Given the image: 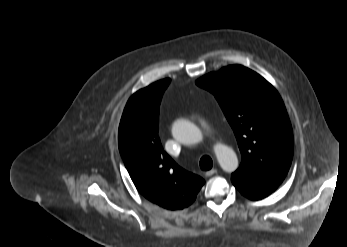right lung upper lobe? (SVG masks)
<instances>
[{
  "label": "right lung upper lobe",
  "mask_w": 347,
  "mask_h": 247,
  "mask_svg": "<svg viewBox=\"0 0 347 247\" xmlns=\"http://www.w3.org/2000/svg\"><path fill=\"white\" fill-rule=\"evenodd\" d=\"M170 79L157 81L131 96L118 134L119 150L138 191L170 210L188 207L204 180L179 167L163 150L159 136V105Z\"/></svg>",
  "instance_id": "obj_1"
}]
</instances>
